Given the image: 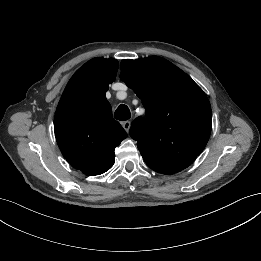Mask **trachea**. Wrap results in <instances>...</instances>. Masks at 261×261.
<instances>
[{
    "instance_id": "3493384b",
    "label": "trachea",
    "mask_w": 261,
    "mask_h": 261,
    "mask_svg": "<svg viewBox=\"0 0 261 261\" xmlns=\"http://www.w3.org/2000/svg\"><path fill=\"white\" fill-rule=\"evenodd\" d=\"M131 117L129 108L121 104L115 111L114 118L119 121H126Z\"/></svg>"
}]
</instances>
